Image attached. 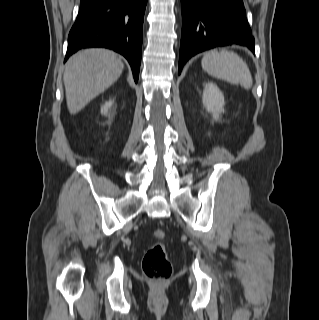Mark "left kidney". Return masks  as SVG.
<instances>
[{"instance_id": "5707ae66", "label": "left kidney", "mask_w": 319, "mask_h": 320, "mask_svg": "<svg viewBox=\"0 0 319 320\" xmlns=\"http://www.w3.org/2000/svg\"><path fill=\"white\" fill-rule=\"evenodd\" d=\"M224 95L214 83H206L203 90V105L206 110L212 113L215 120L219 114L224 112Z\"/></svg>"}]
</instances>
